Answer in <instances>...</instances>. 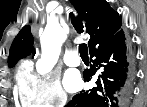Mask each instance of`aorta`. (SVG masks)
<instances>
[{"label": "aorta", "mask_w": 147, "mask_h": 107, "mask_svg": "<svg viewBox=\"0 0 147 107\" xmlns=\"http://www.w3.org/2000/svg\"><path fill=\"white\" fill-rule=\"evenodd\" d=\"M64 40L63 29L57 23L49 24L41 37L42 53L36 63V69L39 73H47L55 66Z\"/></svg>", "instance_id": "aorta-1"}]
</instances>
